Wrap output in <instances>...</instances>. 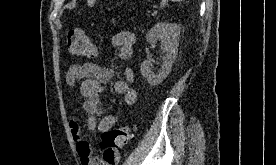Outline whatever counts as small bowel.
Instances as JSON below:
<instances>
[{"label": "small bowel", "instance_id": "c3829d8e", "mask_svg": "<svg viewBox=\"0 0 276 165\" xmlns=\"http://www.w3.org/2000/svg\"><path fill=\"white\" fill-rule=\"evenodd\" d=\"M135 35L132 32H120L113 36L112 44L118 49V58L127 61L132 57ZM125 79H118L114 82L113 88L117 94L123 96L125 104L132 105L136 102V91L130 86L134 75L131 69L125 70ZM113 78V70L93 62L73 64L66 73V83L70 87L78 84L82 98V109L86 115V126L88 130L100 133L111 130L117 119L113 114L104 115V108L101 101V93L104 85ZM69 127L75 142L76 151L80 158L81 165H116L119 160L118 152L112 157L105 151L102 157L96 159L92 155L89 143L82 137L79 120L73 116L69 120Z\"/></svg>", "mask_w": 276, "mask_h": 165}]
</instances>
